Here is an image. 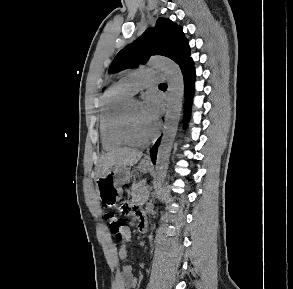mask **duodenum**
Listing matches in <instances>:
<instances>
[{
    "instance_id": "410a0bca",
    "label": "duodenum",
    "mask_w": 293,
    "mask_h": 289,
    "mask_svg": "<svg viewBox=\"0 0 293 289\" xmlns=\"http://www.w3.org/2000/svg\"><path fill=\"white\" fill-rule=\"evenodd\" d=\"M140 228H141V230H142L143 233H146L148 231L149 226H148V223H147V221H146L145 218H143L141 220V222H140Z\"/></svg>"
}]
</instances>
